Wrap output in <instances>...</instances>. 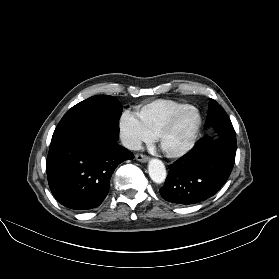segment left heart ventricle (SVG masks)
<instances>
[{
	"label": "left heart ventricle",
	"instance_id": "left-heart-ventricle-1",
	"mask_svg": "<svg viewBox=\"0 0 279 279\" xmlns=\"http://www.w3.org/2000/svg\"><path fill=\"white\" fill-rule=\"evenodd\" d=\"M197 114L193 110L185 112L173 125L170 132L162 140V148L166 151L180 149L188 140L197 124Z\"/></svg>",
	"mask_w": 279,
	"mask_h": 279
}]
</instances>
